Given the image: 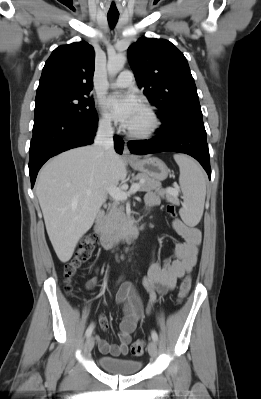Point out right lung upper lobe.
Segmentation results:
<instances>
[{
    "instance_id": "right-lung-upper-lobe-1",
    "label": "right lung upper lobe",
    "mask_w": 261,
    "mask_h": 399,
    "mask_svg": "<svg viewBox=\"0 0 261 399\" xmlns=\"http://www.w3.org/2000/svg\"><path fill=\"white\" fill-rule=\"evenodd\" d=\"M94 61V49L87 42L57 47L42 70L36 98L57 94L89 95Z\"/></svg>"
}]
</instances>
